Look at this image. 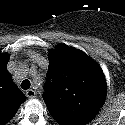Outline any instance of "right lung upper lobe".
Masks as SVG:
<instances>
[{"label": "right lung upper lobe", "instance_id": "right-lung-upper-lobe-1", "mask_svg": "<svg viewBox=\"0 0 125 125\" xmlns=\"http://www.w3.org/2000/svg\"><path fill=\"white\" fill-rule=\"evenodd\" d=\"M8 61L9 55L0 51V125H5L26 100L22 91L12 82V77L7 71Z\"/></svg>", "mask_w": 125, "mask_h": 125}]
</instances>
